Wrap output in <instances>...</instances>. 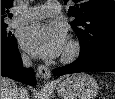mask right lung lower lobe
I'll return each instance as SVG.
<instances>
[{
    "instance_id": "98d812e1",
    "label": "right lung lower lobe",
    "mask_w": 115,
    "mask_h": 99,
    "mask_svg": "<svg viewBox=\"0 0 115 99\" xmlns=\"http://www.w3.org/2000/svg\"><path fill=\"white\" fill-rule=\"evenodd\" d=\"M1 76L15 79L27 85H36L33 69H26L22 66L16 38L1 44Z\"/></svg>"
}]
</instances>
